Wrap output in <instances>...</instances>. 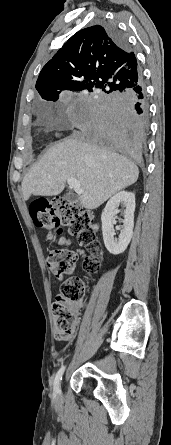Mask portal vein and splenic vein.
<instances>
[{
	"mask_svg": "<svg viewBox=\"0 0 171 445\" xmlns=\"http://www.w3.org/2000/svg\"><path fill=\"white\" fill-rule=\"evenodd\" d=\"M67 183H68L69 187L73 188L77 194H79V195L83 194V189L80 187L79 182L75 178H69L67 180Z\"/></svg>",
	"mask_w": 171,
	"mask_h": 445,
	"instance_id": "portal-vein-and-splenic-vein-1",
	"label": "portal vein and splenic vein"
}]
</instances>
